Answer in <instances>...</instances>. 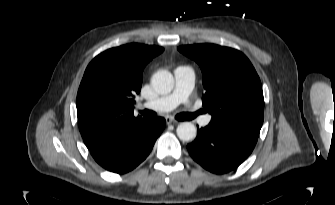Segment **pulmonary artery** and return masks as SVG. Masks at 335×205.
<instances>
[{"instance_id":"obj_1","label":"pulmonary artery","mask_w":335,"mask_h":205,"mask_svg":"<svg viewBox=\"0 0 335 205\" xmlns=\"http://www.w3.org/2000/svg\"><path fill=\"white\" fill-rule=\"evenodd\" d=\"M175 87L167 95L143 104L144 108L154 111H170L179 104H189L188 98L193 89L195 72L189 66H179L174 71ZM196 113V112H191ZM211 121V115H203L198 119L202 126H207Z\"/></svg>"}]
</instances>
